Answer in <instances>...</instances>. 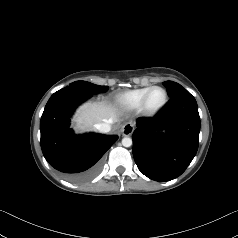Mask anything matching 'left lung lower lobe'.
<instances>
[{
  "label": "left lung lower lobe",
  "mask_w": 238,
  "mask_h": 238,
  "mask_svg": "<svg viewBox=\"0 0 238 238\" xmlns=\"http://www.w3.org/2000/svg\"><path fill=\"white\" fill-rule=\"evenodd\" d=\"M200 117L195 98L181 91L153 117L139 119L133 156L142 174L155 181L180 176L196 155Z\"/></svg>",
  "instance_id": "obj_1"
}]
</instances>
